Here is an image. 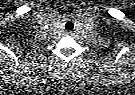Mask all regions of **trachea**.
Here are the masks:
<instances>
[{
  "label": "trachea",
  "instance_id": "obj_1",
  "mask_svg": "<svg viewBox=\"0 0 135 95\" xmlns=\"http://www.w3.org/2000/svg\"><path fill=\"white\" fill-rule=\"evenodd\" d=\"M74 28V24L71 22V21H68L66 24H65V29L67 30H72Z\"/></svg>",
  "mask_w": 135,
  "mask_h": 95
}]
</instances>
